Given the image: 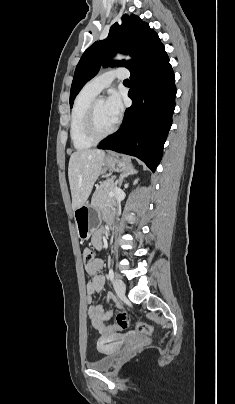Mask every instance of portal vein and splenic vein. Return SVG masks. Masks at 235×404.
<instances>
[{
    "mask_svg": "<svg viewBox=\"0 0 235 404\" xmlns=\"http://www.w3.org/2000/svg\"><path fill=\"white\" fill-rule=\"evenodd\" d=\"M114 195H115V193H114L113 191H111V192L108 194L109 197H113Z\"/></svg>",
    "mask_w": 235,
    "mask_h": 404,
    "instance_id": "1",
    "label": "portal vein and splenic vein"
}]
</instances>
